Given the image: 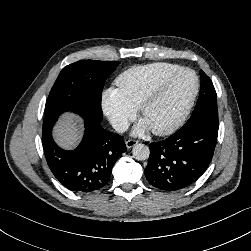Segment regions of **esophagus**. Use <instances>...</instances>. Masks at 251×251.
Listing matches in <instances>:
<instances>
[{
  "label": "esophagus",
  "mask_w": 251,
  "mask_h": 251,
  "mask_svg": "<svg viewBox=\"0 0 251 251\" xmlns=\"http://www.w3.org/2000/svg\"><path fill=\"white\" fill-rule=\"evenodd\" d=\"M138 143L137 140H133V139H130L128 141H126V147L128 149L132 148L134 145H136Z\"/></svg>",
  "instance_id": "1"
}]
</instances>
